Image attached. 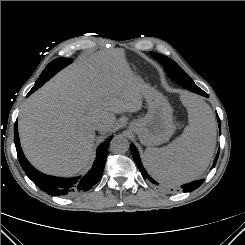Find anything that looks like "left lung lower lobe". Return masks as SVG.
Segmentation results:
<instances>
[{
    "label": "left lung lower lobe",
    "instance_id": "obj_1",
    "mask_svg": "<svg viewBox=\"0 0 245 245\" xmlns=\"http://www.w3.org/2000/svg\"><path fill=\"white\" fill-rule=\"evenodd\" d=\"M178 84H180L181 86H183L184 88L192 91V92H195L197 94H200L202 96H208L202 89H200L198 86H190L186 81L178 78L177 81ZM217 120H218V126H219V130L221 131V121L217 115ZM131 153H132V156L134 158V161L135 163L137 164L139 170L141 171V174L143 176L144 179H149L153 184H157V182H155L149 175L148 173L146 172V170L144 169L142 163H141V160H140V157H139V153L136 149V147L132 144L131 145ZM218 156H219V151L214 159V164H213V167L215 166L216 162H217V159H218ZM204 179H201V180H196V181H193V182H190V183H187V184H184L182 185V190L184 192H190V191H193L195 189H197L202 183H203Z\"/></svg>",
    "mask_w": 245,
    "mask_h": 245
}]
</instances>
